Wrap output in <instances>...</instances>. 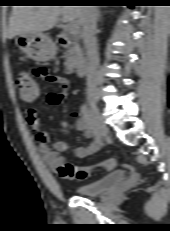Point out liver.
<instances>
[{
	"label": "liver",
	"mask_w": 170,
	"mask_h": 231,
	"mask_svg": "<svg viewBox=\"0 0 170 231\" xmlns=\"http://www.w3.org/2000/svg\"><path fill=\"white\" fill-rule=\"evenodd\" d=\"M82 6H14L9 20L7 38L12 39L24 32L52 29L62 16L64 22L81 24Z\"/></svg>",
	"instance_id": "1"
}]
</instances>
